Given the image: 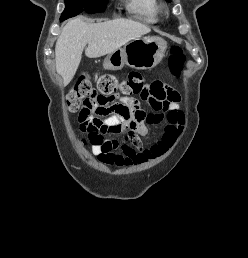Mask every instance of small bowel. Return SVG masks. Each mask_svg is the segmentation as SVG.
<instances>
[{
	"label": "small bowel",
	"mask_w": 248,
	"mask_h": 258,
	"mask_svg": "<svg viewBox=\"0 0 248 258\" xmlns=\"http://www.w3.org/2000/svg\"><path fill=\"white\" fill-rule=\"evenodd\" d=\"M156 88L154 95H147L144 100L151 108L147 112L136 99H127L128 115H111L106 122H98L100 128L120 133L127 130L130 134L129 143L120 145L116 140L92 143V152L98 160L107 165L131 166L159 159L166 155L175 145L183 131L184 117L177 102L179 94L160 81L153 82ZM98 113L108 115V108L100 107ZM81 129L84 131L93 122L89 121L82 110L80 115ZM147 125L163 126L160 136L150 145L141 138L149 133Z\"/></svg>",
	"instance_id": "c3829d8e"
}]
</instances>
